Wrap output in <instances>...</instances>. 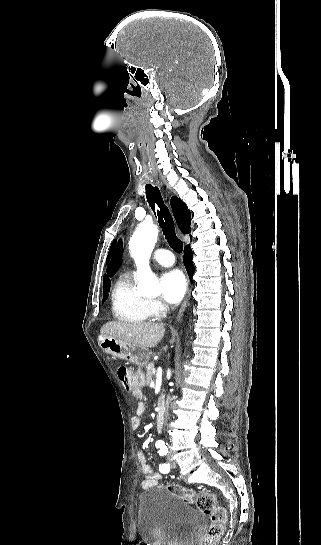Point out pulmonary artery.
<instances>
[{"instance_id": "pulmonary-artery-1", "label": "pulmonary artery", "mask_w": 321, "mask_h": 545, "mask_svg": "<svg viewBox=\"0 0 321 545\" xmlns=\"http://www.w3.org/2000/svg\"><path fill=\"white\" fill-rule=\"evenodd\" d=\"M152 259L154 262L166 267L172 266L175 263V260L172 258V252L167 249L155 250Z\"/></svg>"}]
</instances>
